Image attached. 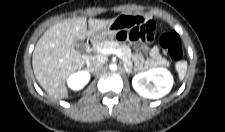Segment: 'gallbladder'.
Wrapping results in <instances>:
<instances>
[{
    "label": "gallbladder",
    "instance_id": "1",
    "mask_svg": "<svg viewBox=\"0 0 225 132\" xmlns=\"http://www.w3.org/2000/svg\"><path fill=\"white\" fill-rule=\"evenodd\" d=\"M74 47L81 53L85 52V43L81 40H77L74 42Z\"/></svg>",
    "mask_w": 225,
    "mask_h": 132
}]
</instances>
